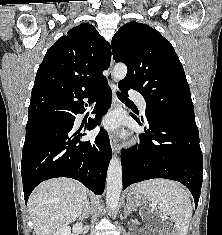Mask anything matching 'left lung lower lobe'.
Returning a JSON list of instances; mask_svg holds the SVG:
<instances>
[{"label": "left lung lower lobe", "mask_w": 222, "mask_h": 235, "mask_svg": "<svg viewBox=\"0 0 222 235\" xmlns=\"http://www.w3.org/2000/svg\"><path fill=\"white\" fill-rule=\"evenodd\" d=\"M127 95V88L120 87ZM140 145L122 150L123 190L133 183L166 178L184 184L198 205L203 181V157L196 122L167 115L146 116Z\"/></svg>", "instance_id": "0a47b994"}]
</instances>
